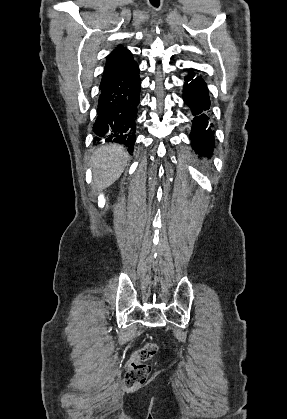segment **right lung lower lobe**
<instances>
[{"label": "right lung lower lobe", "instance_id": "1", "mask_svg": "<svg viewBox=\"0 0 287 419\" xmlns=\"http://www.w3.org/2000/svg\"><path fill=\"white\" fill-rule=\"evenodd\" d=\"M140 87L138 65L127 74L100 84L93 127L97 142H115L133 153Z\"/></svg>", "mask_w": 287, "mask_h": 419}]
</instances>
